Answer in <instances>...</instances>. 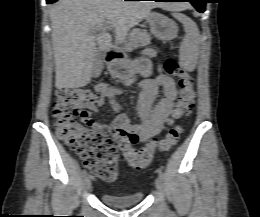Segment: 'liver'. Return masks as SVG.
<instances>
[{"mask_svg":"<svg viewBox=\"0 0 260 217\" xmlns=\"http://www.w3.org/2000/svg\"><path fill=\"white\" fill-rule=\"evenodd\" d=\"M179 11L185 5L143 3L123 0H59L50 8L52 45L55 60V87L70 89L86 86L91 80V68L96 45L102 52L121 44L131 28L147 17L153 8ZM113 24L115 45L108 33L98 36L92 29Z\"/></svg>","mask_w":260,"mask_h":217,"instance_id":"1","label":"liver"}]
</instances>
